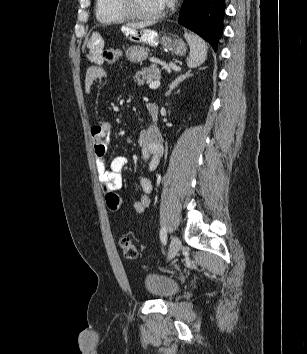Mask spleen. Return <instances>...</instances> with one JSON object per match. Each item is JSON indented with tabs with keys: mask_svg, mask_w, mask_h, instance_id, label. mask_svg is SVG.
I'll list each match as a JSON object with an SVG mask.
<instances>
[{
	"mask_svg": "<svg viewBox=\"0 0 307 354\" xmlns=\"http://www.w3.org/2000/svg\"><path fill=\"white\" fill-rule=\"evenodd\" d=\"M186 38L190 47L187 66L190 68L198 67L206 60L208 51L207 43L202 38L194 34H187Z\"/></svg>",
	"mask_w": 307,
	"mask_h": 354,
	"instance_id": "spleen-1",
	"label": "spleen"
}]
</instances>
